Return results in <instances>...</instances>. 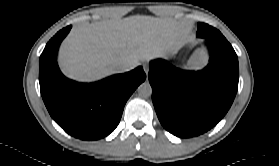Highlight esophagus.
I'll return each mask as SVG.
<instances>
[{
    "mask_svg": "<svg viewBox=\"0 0 279 166\" xmlns=\"http://www.w3.org/2000/svg\"><path fill=\"white\" fill-rule=\"evenodd\" d=\"M143 69H144V72L146 73V75H148L149 67L147 65H144Z\"/></svg>",
    "mask_w": 279,
    "mask_h": 166,
    "instance_id": "34e87169",
    "label": "esophagus"
}]
</instances>
